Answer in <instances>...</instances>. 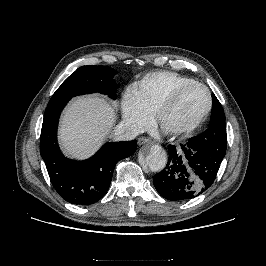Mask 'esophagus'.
I'll use <instances>...</instances> for the list:
<instances>
[{
    "instance_id": "1",
    "label": "esophagus",
    "mask_w": 266,
    "mask_h": 266,
    "mask_svg": "<svg viewBox=\"0 0 266 266\" xmlns=\"http://www.w3.org/2000/svg\"><path fill=\"white\" fill-rule=\"evenodd\" d=\"M143 144H152V141H151V139H149V138H146V137H140V138L138 139V145L141 146V145H143Z\"/></svg>"
}]
</instances>
